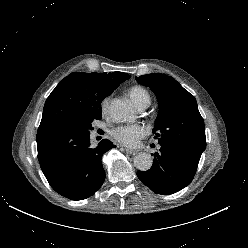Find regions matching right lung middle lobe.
<instances>
[{
  "label": "right lung middle lobe",
  "instance_id": "right-lung-middle-lobe-1",
  "mask_svg": "<svg viewBox=\"0 0 248 248\" xmlns=\"http://www.w3.org/2000/svg\"><path fill=\"white\" fill-rule=\"evenodd\" d=\"M102 118V109L98 107L90 111L84 117L70 121L65 126L77 130L83 133H90V130L93 129L91 123L94 119L100 120Z\"/></svg>",
  "mask_w": 248,
  "mask_h": 248
}]
</instances>
